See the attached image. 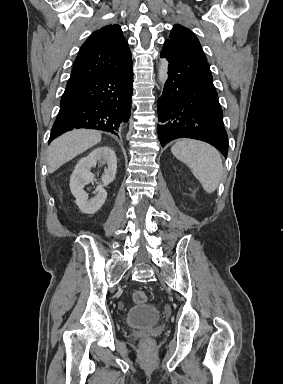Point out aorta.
<instances>
[{
	"mask_svg": "<svg viewBox=\"0 0 283 384\" xmlns=\"http://www.w3.org/2000/svg\"><path fill=\"white\" fill-rule=\"evenodd\" d=\"M168 68H169V64L167 60L162 59L160 61L159 70H158V81L161 86H164L168 79Z\"/></svg>",
	"mask_w": 283,
	"mask_h": 384,
	"instance_id": "aorta-1",
	"label": "aorta"
}]
</instances>
